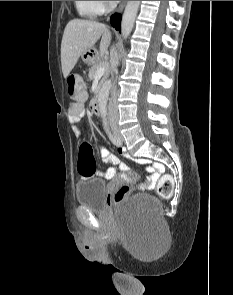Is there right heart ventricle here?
<instances>
[{
	"label": "right heart ventricle",
	"instance_id": "obj_1",
	"mask_svg": "<svg viewBox=\"0 0 233 295\" xmlns=\"http://www.w3.org/2000/svg\"><path fill=\"white\" fill-rule=\"evenodd\" d=\"M78 14L85 18H95L101 12L98 1H74Z\"/></svg>",
	"mask_w": 233,
	"mask_h": 295
}]
</instances>
